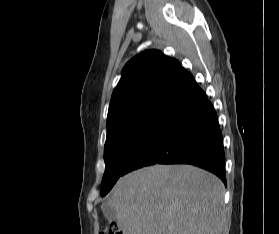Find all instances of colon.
Listing matches in <instances>:
<instances>
[{"mask_svg":"<svg viewBox=\"0 0 279 234\" xmlns=\"http://www.w3.org/2000/svg\"><path fill=\"white\" fill-rule=\"evenodd\" d=\"M102 234H124V233L117 223L110 222L106 228V232Z\"/></svg>","mask_w":279,"mask_h":234,"instance_id":"1","label":"colon"}]
</instances>
